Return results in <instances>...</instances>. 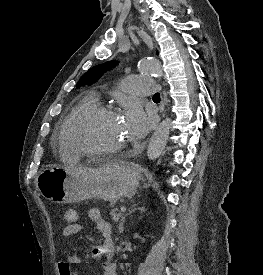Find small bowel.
<instances>
[{"mask_svg": "<svg viewBox=\"0 0 263 275\" xmlns=\"http://www.w3.org/2000/svg\"><path fill=\"white\" fill-rule=\"evenodd\" d=\"M88 218L96 224L97 229L103 236L102 244L93 248L91 256L94 260H102L103 273L102 275H117V266L112 261L114 256V243L112 240V227L109 222L103 219L98 208H91L88 213ZM82 230V225L77 221L73 224H68L63 229L64 237H71ZM68 266V273L66 275H77L75 266L80 263V258L76 254H69L65 260ZM61 262L58 263L59 272L61 271Z\"/></svg>", "mask_w": 263, "mask_h": 275, "instance_id": "1", "label": "small bowel"}]
</instances>
